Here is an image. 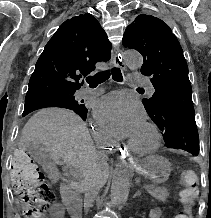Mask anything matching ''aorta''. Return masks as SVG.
Returning a JSON list of instances; mask_svg holds the SVG:
<instances>
[{"label": "aorta", "mask_w": 211, "mask_h": 218, "mask_svg": "<svg viewBox=\"0 0 211 218\" xmlns=\"http://www.w3.org/2000/svg\"><path fill=\"white\" fill-rule=\"evenodd\" d=\"M124 60L125 63L132 69H137L142 65V56L133 50L125 52ZM130 180L128 157H121L115 167L112 178L110 193L112 202L121 204L127 199L130 188Z\"/></svg>", "instance_id": "aorta-1"}]
</instances>
